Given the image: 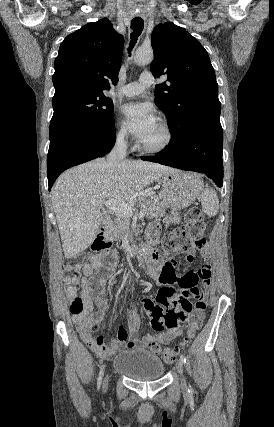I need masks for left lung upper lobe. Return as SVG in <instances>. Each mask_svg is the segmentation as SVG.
I'll return each mask as SVG.
<instances>
[{
	"mask_svg": "<svg viewBox=\"0 0 274 427\" xmlns=\"http://www.w3.org/2000/svg\"><path fill=\"white\" fill-rule=\"evenodd\" d=\"M156 85L155 103L165 113L172 140H178L200 122L220 123L221 104L214 68L204 47L184 28L172 22L157 25L151 35Z\"/></svg>",
	"mask_w": 274,
	"mask_h": 427,
	"instance_id": "1",
	"label": "left lung upper lobe"
}]
</instances>
